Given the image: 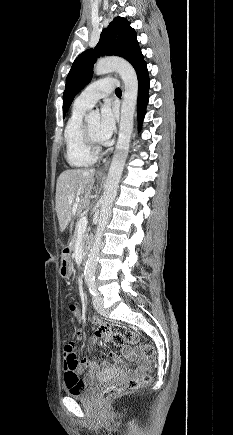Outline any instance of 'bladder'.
<instances>
[{"instance_id": "31cf9c89", "label": "bladder", "mask_w": 233, "mask_h": 435, "mask_svg": "<svg viewBox=\"0 0 233 435\" xmlns=\"http://www.w3.org/2000/svg\"><path fill=\"white\" fill-rule=\"evenodd\" d=\"M99 382H91L86 385V387L77 393L67 392L68 396L77 401H88L91 400L99 387Z\"/></svg>"}]
</instances>
